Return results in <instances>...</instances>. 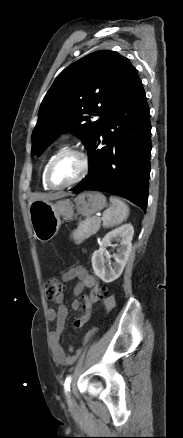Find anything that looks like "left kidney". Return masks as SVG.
Returning a JSON list of instances; mask_svg holds the SVG:
<instances>
[{
	"label": "left kidney",
	"mask_w": 183,
	"mask_h": 438,
	"mask_svg": "<svg viewBox=\"0 0 183 438\" xmlns=\"http://www.w3.org/2000/svg\"><path fill=\"white\" fill-rule=\"evenodd\" d=\"M134 228L131 224L122 225L110 232L103 238L100 247L92 255V267L97 275L105 283H111L118 279L123 272L132 248V238ZM111 241L120 242L117 254H114L115 263L113 267L109 263L106 247L111 245ZM108 263V268L106 267Z\"/></svg>",
	"instance_id": "obj_1"
}]
</instances>
